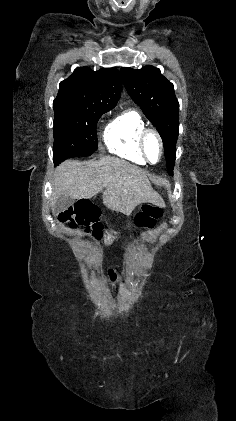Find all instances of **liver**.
Here are the masks:
<instances>
[{"label": "liver", "instance_id": "1", "mask_svg": "<svg viewBox=\"0 0 236 421\" xmlns=\"http://www.w3.org/2000/svg\"><path fill=\"white\" fill-rule=\"evenodd\" d=\"M54 176L51 206L62 194L72 198H92L101 190L105 206L123 215H131L141 202L164 206L162 196L153 190L144 170L116 156H101L99 160L69 158L57 166Z\"/></svg>", "mask_w": 236, "mask_h": 421}]
</instances>
